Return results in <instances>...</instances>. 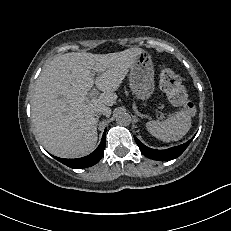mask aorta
<instances>
[{"label": "aorta", "mask_w": 231, "mask_h": 231, "mask_svg": "<svg viewBox=\"0 0 231 231\" xmlns=\"http://www.w3.org/2000/svg\"><path fill=\"white\" fill-rule=\"evenodd\" d=\"M132 119L129 113L121 111L116 115V123L121 126H128Z\"/></svg>", "instance_id": "1"}]
</instances>
